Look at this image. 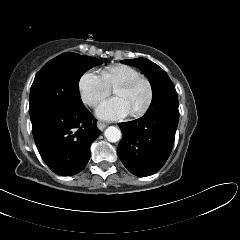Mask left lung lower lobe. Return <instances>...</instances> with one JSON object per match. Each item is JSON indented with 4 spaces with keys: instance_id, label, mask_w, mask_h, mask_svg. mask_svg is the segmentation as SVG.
Listing matches in <instances>:
<instances>
[{
    "instance_id": "1",
    "label": "left lung lower lobe",
    "mask_w": 240,
    "mask_h": 240,
    "mask_svg": "<svg viewBox=\"0 0 240 240\" xmlns=\"http://www.w3.org/2000/svg\"><path fill=\"white\" fill-rule=\"evenodd\" d=\"M179 121L176 108L160 107L134 121L119 123L123 137L117 153L136 176H149L167 161Z\"/></svg>"
}]
</instances>
